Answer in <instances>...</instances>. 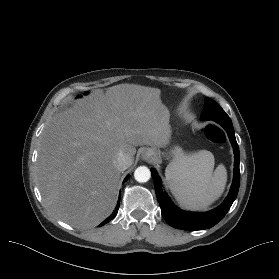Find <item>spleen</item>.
Segmentation results:
<instances>
[{
	"instance_id": "1",
	"label": "spleen",
	"mask_w": 279,
	"mask_h": 279,
	"mask_svg": "<svg viewBox=\"0 0 279 279\" xmlns=\"http://www.w3.org/2000/svg\"><path fill=\"white\" fill-rule=\"evenodd\" d=\"M214 165L213 154L201 150L192 155H182L167 166L168 187L182 207L205 210L222 195L227 171L223 164L215 170Z\"/></svg>"
}]
</instances>
